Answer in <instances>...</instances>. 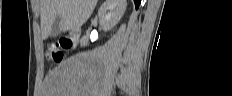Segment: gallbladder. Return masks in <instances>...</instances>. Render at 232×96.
I'll list each match as a JSON object with an SVG mask.
<instances>
[{"mask_svg":"<svg viewBox=\"0 0 232 96\" xmlns=\"http://www.w3.org/2000/svg\"><path fill=\"white\" fill-rule=\"evenodd\" d=\"M59 26H60V17L58 16L53 22L50 37L55 38L61 33Z\"/></svg>","mask_w":232,"mask_h":96,"instance_id":"bac80fb5","label":"gallbladder"}]
</instances>
